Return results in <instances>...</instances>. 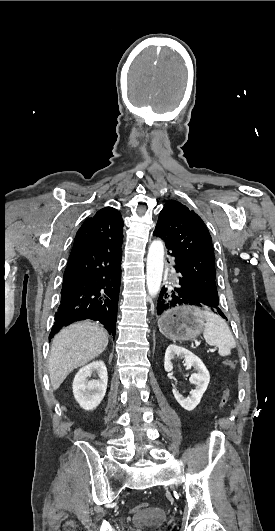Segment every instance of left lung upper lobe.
Here are the masks:
<instances>
[{
    "mask_svg": "<svg viewBox=\"0 0 275 531\" xmlns=\"http://www.w3.org/2000/svg\"><path fill=\"white\" fill-rule=\"evenodd\" d=\"M155 228L173 251L189 292L203 303L218 307L212 239L203 220L185 205L170 200Z\"/></svg>",
    "mask_w": 275,
    "mask_h": 531,
    "instance_id": "5c2ea615",
    "label": "left lung upper lobe"
}]
</instances>
